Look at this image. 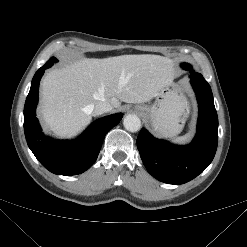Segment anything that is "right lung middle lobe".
I'll return each instance as SVG.
<instances>
[{
    "label": "right lung middle lobe",
    "instance_id": "dd1d6c3e",
    "mask_svg": "<svg viewBox=\"0 0 247 247\" xmlns=\"http://www.w3.org/2000/svg\"><path fill=\"white\" fill-rule=\"evenodd\" d=\"M57 62V59L55 58V57H52V58H50L47 62H46V64H45V66H47V68H49V67H51L54 63H56Z\"/></svg>",
    "mask_w": 247,
    "mask_h": 247
}]
</instances>
